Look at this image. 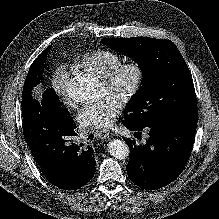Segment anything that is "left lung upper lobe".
<instances>
[{
  "mask_svg": "<svg viewBox=\"0 0 219 219\" xmlns=\"http://www.w3.org/2000/svg\"><path fill=\"white\" fill-rule=\"evenodd\" d=\"M109 48L131 57L143 72V84L124 111V120L143 128L198 115L189 68L176 45L155 38H104Z\"/></svg>",
  "mask_w": 219,
  "mask_h": 219,
  "instance_id": "5c2ea615",
  "label": "left lung upper lobe"
}]
</instances>
